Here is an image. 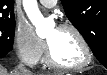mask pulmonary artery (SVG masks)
I'll return each instance as SVG.
<instances>
[{"label": "pulmonary artery", "mask_w": 107, "mask_h": 75, "mask_svg": "<svg viewBox=\"0 0 107 75\" xmlns=\"http://www.w3.org/2000/svg\"><path fill=\"white\" fill-rule=\"evenodd\" d=\"M39 2L47 8H52L56 5L57 0H40Z\"/></svg>", "instance_id": "1"}]
</instances>
